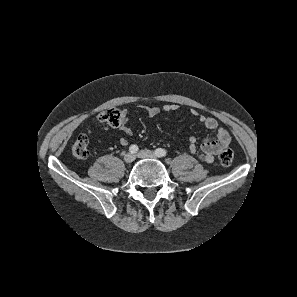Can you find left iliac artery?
<instances>
[{
	"label": "left iliac artery",
	"mask_w": 297,
	"mask_h": 297,
	"mask_svg": "<svg viewBox=\"0 0 297 297\" xmlns=\"http://www.w3.org/2000/svg\"><path fill=\"white\" fill-rule=\"evenodd\" d=\"M155 154L158 156V157H164L167 155V151L165 149H162V148H158L155 150Z\"/></svg>",
	"instance_id": "44dca946"
}]
</instances>
